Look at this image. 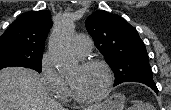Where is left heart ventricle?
<instances>
[{"label":"left heart ventricle","instance_id":"1","mask_svg":"<svg viewBox=\"0 0 171 110\" xmlns=\"http://www.w3.org/2000/svg\"><path fill=\"white\" fill-rule=\"evenodd\" d=\"M80 96L91 97L100 93L106 84V73L98 66L83 69L76 67L68 76Z\"/></svg>","mask_w":171,"mask_h":110}]
</instances>
